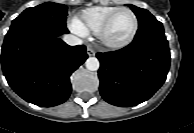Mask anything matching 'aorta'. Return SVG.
<instances>
[{
  "label": "aorta",
  "instance_id": "1",
  "mask_svg": "<svg viewBox=\"0 0 194 133\" xmlns=\"http://www.w3.org/2000/svg\"><path fill=\"white\" fill-rule=\"evenodd\" d=\"M85 66L90 71H97L100 67V62L96 57H89L85 61Z\"/></svg>",
  "mask_w": 194,
  "mask_h": 133
}]
</instances>
